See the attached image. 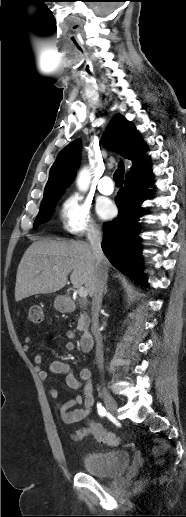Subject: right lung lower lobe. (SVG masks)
Masks as SVG:
<instances>
[{"label": "right lung lower lobe", "instance_id": "98d812e1", "mask_svg": "<svg viewBox=\"0 0 186 517\" xmlns=\"http://www.w3.org/2000/svg\"><path fill=\"white\" fill-rule=\"evenodd\" d=\"M150 164L126 176V183L116 196L118 216L104 224L102 250L121 272L142 282L138 258V218L141 204L152 193Z\"/></svg>", "mask_w": 186, "mask_h": 517}]
</instances>
